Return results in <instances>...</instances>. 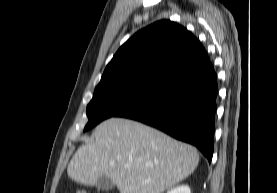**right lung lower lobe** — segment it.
<instances>
[{
    "mask_svg": "<svg viewBox=\"0 0 277 193\" xmlns=\"http://www.w3.org/2000/svg\"><path fill=\"white\" fill-rule=\"evenodd\" d=\"M217 75L210 62L179 76L116 117L133 119L213 156Z\"/></svg>",
    "mask_w": 277,
    "mask_h": 193,
    "instance_id": "98d812e1",
    "label": "right lung lower lobe"
}]
</instances>
